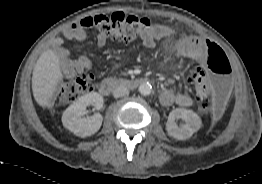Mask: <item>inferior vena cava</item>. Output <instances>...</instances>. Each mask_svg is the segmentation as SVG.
Segmentation results:
<instances>
[{"mask_svg": "<svg viewBox=\"0 0 262 184\" xmlns=\"http://www.w3.org/2000/svg\"><path fill=\"white\" fill-rule=\"evenodd\" d=\"M129 94V90L124 86H119L114 89L113 96L115 98L123 97Z\"/></svg>", "mask_w": 262, "mask_h": 184, "instance_id": "602c4592", "label": "inferior vena cava"}]
</instances>
